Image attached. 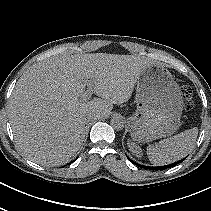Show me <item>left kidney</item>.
I'll return each mask as SVG.
<instances>
[{
  "instance_id": "left-kidney-1",
  "label": "left kidney",
  "mask_w": 211,
  "mask_h": 211,
  "mask_svg": "<svg viewBox=\"0 0 211 211\" xmlns=\"http://www.w3.org/2000/svg\"><path fill=\"white\" fill-rule=\"evenodd\" d=\"M128 147L133 155H135L138 158L142 157V151L139 146L128 141Z\"/></svg>"
}]
</instances>
